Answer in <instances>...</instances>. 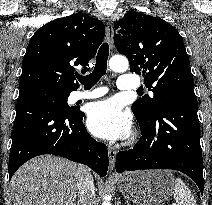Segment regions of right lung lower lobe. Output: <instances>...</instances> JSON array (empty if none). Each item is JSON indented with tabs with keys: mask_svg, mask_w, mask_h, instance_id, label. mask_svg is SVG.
Returning <instances> with one entry per match:
<instances>
[{
	"mask_svg": "<svg viewBox=\"0 0 212 205\" xmlns=\"http://www.w3.org/2000/svg\"><path fill=\"white\" fill-rule=\"evenodd\" d=\"M54 90H41L39 97L20 96L9 155V180L26 161L43 154L65 157L88 165L100 176L108 169V151L96 142L82 122L84 113L64 111L52 103Z\"/></svg>",
	"mask_w": 212,
	"mask_h": 205,
	"instance_id": "1",
	"label": "right lung lower lobe"
}]
</instances>
